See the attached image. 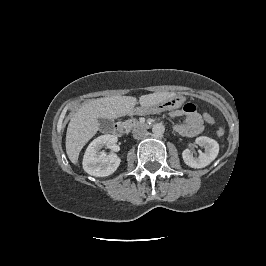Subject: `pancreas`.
<instances>
[{"instance_id":"pancreas-1","label":"pancreas","mask_w":266,"mask_h":266,"mask_svg":"<svg viewBox=\"0 0 266 266\" xmlns=\"http://www.w3.org/2000/svg\"><path fill=\"white\" fill-rule=\"evenodd\" d=\"M130 128H136L140 125V122L136 119H131L126 122Z\"/></svg>"}]
</instances>
